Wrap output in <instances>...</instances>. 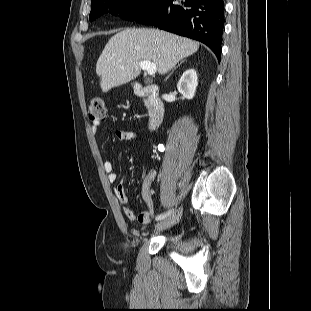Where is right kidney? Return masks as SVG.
Returning a JSON list of instances; mask_svg holds the SVG:
<instances>
[{"mask_svg":"<svg viewBox=\"0 0 311 311\" xmlns=\"http://www.w3.org/2000/svg\"><path fill=\"white\" fill-rule=\"evenodd\" d=\"M197 85L196 71L194 69H188L181 76L177 84V89L186 99H192L195 95Z\"/></svg>","mask_w":311,"mask_h":311,"instance_id":"1","label":"right kidney"}]
</instances>
